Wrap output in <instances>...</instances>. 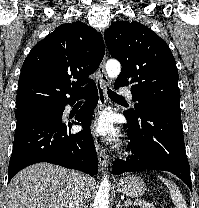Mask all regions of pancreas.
Wrapping results in <instances>:
<instances>
[{"label":"pancreas","instance_id":"cf45deb5","mask_svg":"<svg viewBox=\"0 0 199 208\" xmlns=\"http://www.w3.org/2000/svg\"><path fill=\"white\" fill-rule=\"evenodd\" d=\"M133 204L139 206L140 208H154L152 204L146 203L142 200H135Z\"/></svg>","mask_w":199,"mask_h":208}]
</instances>
